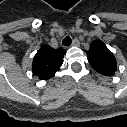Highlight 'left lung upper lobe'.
Returning a JSON list of instances; mask_svg holds the SVG:
<instances>
[{
	"label": "left lung upper lobe",
	"instance_id": "1",
	"mask_svg": "<svg viewBox=\"0 0 127 127\" xmlns=\"http://www.w3.org/2000/svg\"><path fill=\"white\" fill-rule=\"evenodd\" d=\"M87 58L90 65L102 75L112 76L117 69L114 55L100 40L92 42Z\"/></svg>",
	"mask_w": 127,
	"mask_h": 127
}]
</instances>
